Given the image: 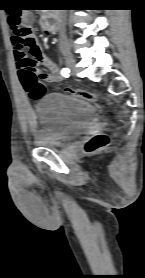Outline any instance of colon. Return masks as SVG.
Masks as SVG:
<instances>
[{
  "label": "colon",
  "instance_id": "obj_1",
  "mask_svg": "<svg viewBox=\"0 0 145 278\" xmlns=\"http://www.w3.org/2000/svg\"><path fill=\"white\" fill-rule=\"evenodd\" d=\"M8 23L14 36L18 37L22 41V44L26 46L29 43L31 31L29 28L22 25L21 17L16 13L10 14ZM67 93L89 101H94L96 99V94L90 91L67 90ZM107 142L108 138L105 135H96L87 142L85 151L88 153L95 152L106 146Z\"/></svg>",
  "mask_w": 145,
  "mask_h": 278
}]
</instances>
